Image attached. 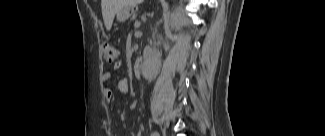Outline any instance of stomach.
<instances>
[{"instance_id":"stomach-1","label":"stomach","mask_w":325,"mask_h":136,"mask_svg":"<svg viewBox=\"0 0 325 136\" xmlns=\"http://www.w3.org/2000/svg\"><path fill=\"white\" fill-rule=\"evenodd\" d=\"M135 11H136V6L135 5H128L127 8H124L122 11L117 13V19L119 21H125L131 15H134Z\"/></svg>"}]
</instances>
